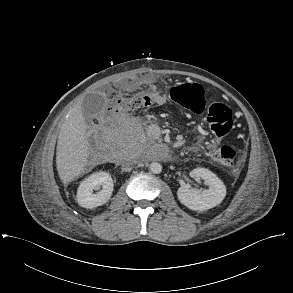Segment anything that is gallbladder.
I'll return each mask as SVG.
<instances>
[{"instance_id": "obj_1", "label": "gallbladder", "mask_w": 293, "mask_h": 293, "mask_svg": "<svg viewBox=\"0 0 293 293\" xmlns=\"http://www.w3.org/2000/svg\"><path fill=\"white\" fill-rule=\"evenodd\" d=\"M105 106V97L97 94L90 93L85 96L82 102V112L85 118L96 116L100 113Z\"/></svg>"}]
</instances>
